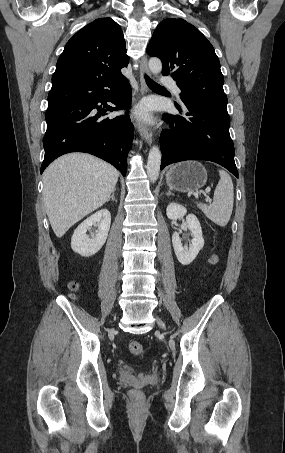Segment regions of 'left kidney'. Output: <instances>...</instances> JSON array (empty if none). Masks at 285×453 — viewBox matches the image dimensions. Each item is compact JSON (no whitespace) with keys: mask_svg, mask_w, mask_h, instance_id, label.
Here are the masks:
<instances>
[{"mask_svg":"<svg viewBox=\"0 0 285 453\" xmlns=\"http://www.w3.org/2000/svg\"><path fill=\"white\" fill-rule=\"evenodd\" d=\"M187 213V209L179 204L170 203L167 206L166 214L170 220H177L183 218ZM186 223L193 237L191 244L183 246L181 239L177 232L172 235V244L178 261L182 265H189L198 255L199 251L204 246V239L199 220L194 214L186 216Z\"/></svg>","mask_w":285,"mask_h":453,"instance_id":"obj_1","label":"left kidney"}]
</instances>
